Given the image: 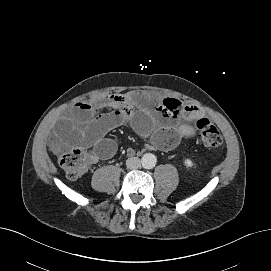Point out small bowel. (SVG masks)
Returning a JSON list of instances; mask_svg holds the SVG:
<instances>
[{
  "label": "small bowel",
  "instance_id": "c3829d8e",
  "mask_svg": "<svg viewBox=\"0 0 271 271\" xmlns=\"http://www.w3.org/2000/svg\"><path fill=\"white\" fill-rule=\"evenodd\" d=\"M104 108L112 111L98 113ZM202 115L197 106L142 90L95 96L77 102L70 114L56 124L52 147L60 152L79 146L92 151V162L109 159L117 152V144L106 137L107 133L130 122L140 135L152 136L154 148L171 150L182 139L197 136L189 122Z\"/></svg>",
  "mask_w": 271,
  "mask_h": 271
}]
</instances>
